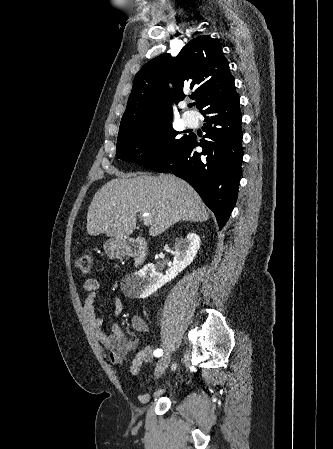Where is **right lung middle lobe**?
<instances>
[{
    "mask_svg": "<svg viewBox=\"0 0 333 449\" xmlns=\"http://www.w3.org/2000/svg\"><path fill=\"white\" fill-rule=\"evenodd\" d=\"M179 134L181 132L173 129L171 120L143 129L117 141L116 157L153 169L168 159L189 137H179Z\"/></svg>",
    "mask_w": 333,
    "mask_h": 449,
    "instance_id": "obj_1",
    "label": "right lung middle lobe"
}]
</instances>
